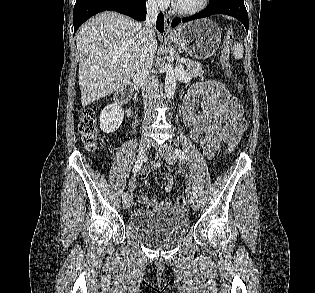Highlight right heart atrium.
<instances>
[{
	"label": "right heart atrium",
	"mask_w": 315,
	"mask_h": 293,
	"mask_svg": "<svg viewBox=\"0 0 315 293\" xmlns=\"http://www.w3.org/2000/svg\"><path fill=\"white\" fill-rule=\"evenodd\" d=\"M151 3L156 4L157 6L163 8L167 5L168 0H149Z\"/></svg>",
	"instance_id": "obj_1"
}]
</instances>
